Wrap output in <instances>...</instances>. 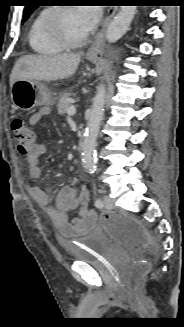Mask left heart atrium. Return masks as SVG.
I'll use <instances>...</instances> for the list:
<instances>
[{
  "label": "left heart atrium",
  "instance_id": "1",
  "mask_svg": "<svg viewBox=\"0 0 184 327\" xmlns=\"http://www.w3.org/2000/svg\"><path fill=\"white\" fill-rule=\"evenodd\" d=\"M77 13L82 19L87 31L92 30L101 19V11L95 7L76 8Z\"/></svg>",
  "mask_w": 184,
  "mask_h": 327
}]
</instances>
